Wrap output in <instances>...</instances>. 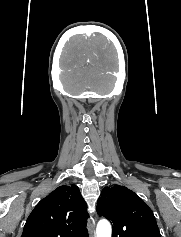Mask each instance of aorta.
Wrapping results in <instances>:
<instances>
[{
    "label": "aorta",
    "mask_w": 181,
    "mask_h": 237,
    "mask_svg": "<svg viewBox=\"0 0 181 237\" xmlns=\"http://www.w3.org/2000/svg\"><path fill=\"white\" fill-rule=\"evenodd\" d=\"M112 229L110 223L102 219L99 221L96 229V237H111Z\"/></svg>",
    "instance_id": "1"
}]
</instances>
